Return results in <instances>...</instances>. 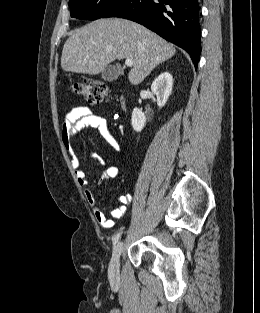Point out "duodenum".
Returning <instances> with one entry per match:
<instances>
[{
    "label": "duodenum",
    "mask_w": 260,
    "mask_h": 313,
    "mask_svg": "<svg viewBox=\"0 0 260 313\" xmlns=\"http://www.w3.org/2000/svg\"><path fill=\"white\" fill-rule=\"evenodd\" d=\"M120 105H121L122 108H125V106H126V98H125L124 95H122L120 97Z\"/></svg>",
    "instance_id": "1"
}]
</instances>
